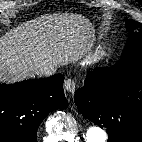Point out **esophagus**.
I'll return each instance as SVG.
<instances>
[{"label": "esophagus", "mask_w": 142, "mask_h": 142, "mask_svg": "<svg viewBox=\"0 0 142 142\" xmlns=\"http://www.w3.org/2000/svg\"><path fill=\"white\" fill-rule=\"evenodd\" d=\"M64 86L68 92L74 93L76 89V82L71 78H67L64 82Z\"/></svg>", "instance_id": "1"}]
</instances>
